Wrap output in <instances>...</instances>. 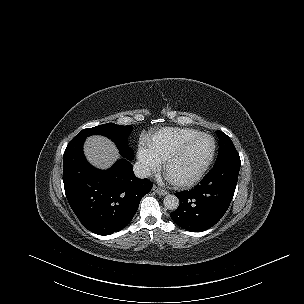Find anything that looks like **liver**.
Returning <instances> with one entry per match:
<instances>
[{"label":"liver","mask_w":304,"mask_h":304,"mask_svg":"<svg viewBox=\"0 0 304 304\" xmlns=\"http://www.w3.org/2000/svg\"><path fill=\"white\" fill-rule=\"evenodd\" d=\"M84 153L89 163L99 169L111 167L120 158L114 143L99 135L87 138Z\"/></svg>","instance_id":"liver-1"}]
</instances>
